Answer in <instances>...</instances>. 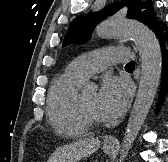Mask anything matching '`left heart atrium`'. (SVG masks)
Instances as JSON below:
<instances>
[{"instance_id":"left-heart-atrium-1","label":"left heart atrium","mask_w":168,"mask_h":162,"mask_svg":"<svg viewBox=\"0 0 168 162\" xmlns=\"http://www.w3.org/2000/svg\"><path fill=\"white\" fill-rule=\"evenodd\" d=\"M131 88L127 80L105 76L97 94V112L101 120H114L127 108Z\"/></svg>"}]
</instances>
